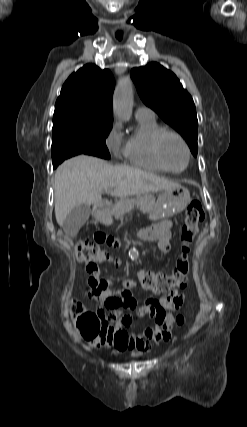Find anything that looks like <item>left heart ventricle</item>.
I'll list each match as a JSON object with an SVG mask.
<instances>
[{"label":"left heart ventricle","instance_id":"obj_1","mask_svg":"<svg viewBox=\"0 0 247 427\" xmlns=\"http://www.w3.org/2000/svg\"><path fill=\"white\" fill-rule=\"evenodd\" d=\"M162 153L166 163L173 169L184 167L187 159L186 151L178 139L168 136L162 144Z\"/></svg>","mask_w":247,"mask_h":427}]
</instances>
